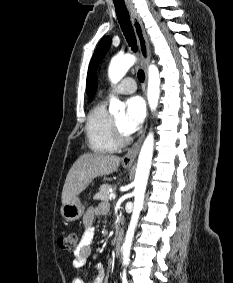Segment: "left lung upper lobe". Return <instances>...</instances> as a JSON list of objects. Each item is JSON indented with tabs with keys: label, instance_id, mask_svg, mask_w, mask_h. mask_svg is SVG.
<instances>
[{
	"label": "left lung upper lobe",
	"instance_id": "1",
	"mask_svg": "<svg viewBox=\"0 0 233 283\" xmlns=\"http://www.w3.org/2000/svg\"><path fill=\"white\" fill-rule=\"evenodd\" d=\"M110 43H111V38L108 37V36L104 37L100 41V43H99V45H98V47H97V49H96L92 59H91V62H90V65H89V69H88V75H87V90H88V86H89V83H90V80H91L92 73H93L94 69L96 68L98 62L102 58V56L107 51Z\"/></svg>",
	"mask_w": 233,
	"mask_h": 283
}]
</instances>
